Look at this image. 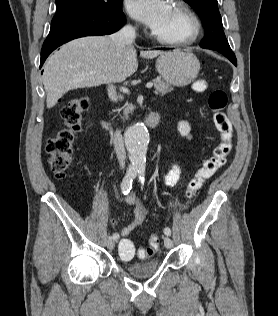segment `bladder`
I'll use <instances>...</instances> for the list:
<instances>
[{
    "label": "bladder",
    "mask_w": 278,
    "mask_h": 316,
    "mask_svg": "<svg viewBox=\"0 0 278 316\" xmlns=\"http://www.w3.org/2000/svg\"><path fill=\"white\" fill-rule=\"evenodd\" d=\"M160 266V262L157 259L148 260L140 263H128L125 265V269L131 275L138 278H145L154 274Z\"/></svg>",
    "instance_id": "obj_1"
}]
</instances>
